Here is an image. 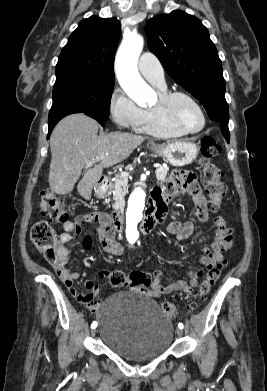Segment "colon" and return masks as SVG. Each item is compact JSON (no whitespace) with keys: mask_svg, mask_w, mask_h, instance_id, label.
Segmentation results:
<instances>
[{"mask_svg":"<svg viewBox=\"0 0 267 391\" xmlns=\"http://www.w3.org/2000/svg\"><path fill=\"white\" fill-rule=\"evenodd\" d=\"M200 152L202 179L209 197L208 208L215 212L220 209L227 191L226 185L222 181L223 171L212 161L220 153V146L214 138L205 137L202 139ZM70 209L71 203L68 200L56 196L50 190L42 193L40 211L43 216L55 222L64 223L68 220ZM31 239L33 244L42 251L48 263L54 264L57 261L56 235L47 221H38L32 226ZM224 264V261H220L209 269L200 285L198 301L189 305L190 310H195L207 296L219 279ZM150 281V275L143 271H133L127 274L116 272L109 279L110 285L114 288L131 286L142 293L149 289ZM162 310L170 318L177 316V308L171 302H164Z\"/></svg>","mask_w":267,"mask_h":391,"instance_id":"1","label":"colon"}]
</instances>
